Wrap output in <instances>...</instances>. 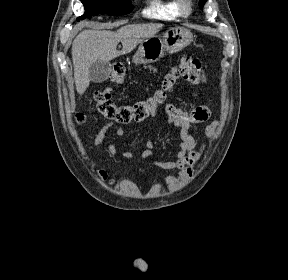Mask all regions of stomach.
<instances>
[{
    "mask_svg": "<svg viewBox=\"0 0 288 280\" xmlns=\"http://www.w3.org/2000/svg\"><path fill=\"white\" fill-rule=\"evenodd\" d=\"M193 40L192 33L184 27H170L163 36L144 39L133 56L135 64H149L158 61L166 53H176Z\"/></svg>",
    "mask_w": 288,
    "mask_h": 280,
    "instance_id": "obj_1",
    "label": "stomach"
}]
</instances>
